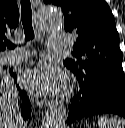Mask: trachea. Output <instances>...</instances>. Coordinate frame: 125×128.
I'll list each match as a JSON object with an SVG mask.
<instances>
[{"mask_svg":"<svg viewBox=\"0 0 125 128\" xmlns=\"http://www.w3.org/2000/svg\"><path fill=\"white\" fill-rule=\"evenodd\" d=\"M21 20L25 33V42L35 38L33 26H32V9L30 0H21ZM6 46L10 49L16 47L15 44L8 42Z\"/></svg>","mask_w":125,"mask_h":128,"instance_id":"1","label":"trachea"}]
</instances>
